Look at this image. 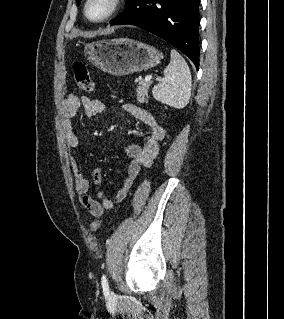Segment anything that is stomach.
Listing matches in <instances>:
<instances>
[{
  "label": "stomach",
  "instance_id": "0dacf381",
  "mask_svg": "<svg viewBox=\"0 0 284 319\" xmlns=\"http://www.w3.org/2000/svg\"><path fill=\"white\" fill-rule=\"evenodd\" d=\"M84 53L93 65L116 76L151 69L161 59L155 47L129 38L88 43Z\"/></svg>",
  "mask_w": 284,
  "mask_h": 319
}]
</instances>
